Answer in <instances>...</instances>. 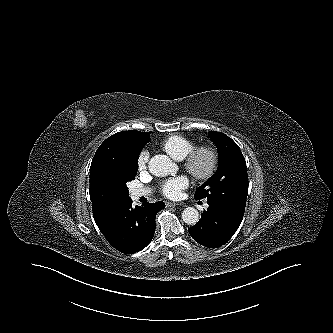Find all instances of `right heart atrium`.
<instances>
[{"label": "right heart atrium", "instance_id": "right-heart-atrium-1", "mask_svg": "<svg viewBox=\"0 0 333 333\" xmlns=\"http://www.w3.org/2000/svg\"><path fill=\"white\" fill-rule=\"evenodd\" d=\"M149 161V153L146 150L140 152L137 159V167L139 171H143L147 167V163Z\"/></svg>", "mask_w": 333, "mask_h": 333}]
</instances>
